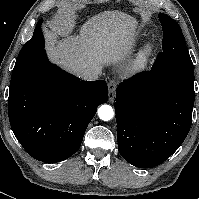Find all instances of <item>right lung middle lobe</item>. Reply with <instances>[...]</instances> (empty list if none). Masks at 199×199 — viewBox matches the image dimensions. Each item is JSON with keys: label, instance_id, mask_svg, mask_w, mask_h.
Returning <instances> with one entry per match:
<instances>
[{"label": "right lung middle lobe", "instance_id": "right-lung-middle-lobe-1", "mask_svg": "<svg viewBox=\"0 0 199 199\" xmlns=\"http://www.w3.org/2000/svg\"><path fill=\"white\" fill-rule=\"evenodd\" d=\"M42 22L43 20L41 19L34 30L32 38L24 44L16 59V63L13 70L21 67L29 59H31L32 57L36 56L44 50V37L41 32Z\"/></svg>", "mask_w": 199, "mask_h": 199}]
</instances>
